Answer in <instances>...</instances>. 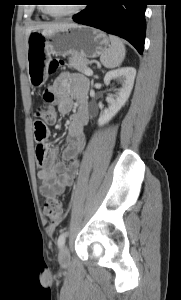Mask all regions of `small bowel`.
Here are the masks:
<instances>
[{"label": "small bowel", "instance_id": "small-bowel-1", "mask_svg": "<svg viewBox=\"0 0 181 300\" xmlns=\"http://www.w3.org/2000/svg\"><path fill=\"white\" fill-rule=\"evenodd\" d=\"M88 80L79 74H60L48 87L46 93L52 94L53 103L57 104L60 114H67L73 105L77 108L68 122L67 144L60 151L51 143H44L36 148L37 173L42 181L41 194L48 198L60 195L70 187L79 171V156L85 146L84 129L90 115L88 111Z\"/></svg>", "mask_w": 181, "mask_h": 300}]
</instances>
